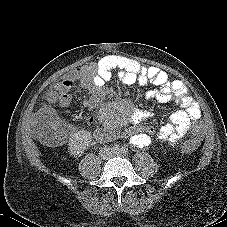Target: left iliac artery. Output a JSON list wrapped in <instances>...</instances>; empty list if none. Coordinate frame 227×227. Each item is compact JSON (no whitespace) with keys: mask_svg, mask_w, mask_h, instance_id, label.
Returning a JSON list of instances; mask_svg holds the SVG:
<instances>
[{"mask_svg":"<svg viewBox=\"0 0 227 227\" xmlns=\"http://www.w3.org/2000/svg\"><path fill=\"white\" fill-rule=\"evenodd\" d=\"M121 151H122L123 153H125V154H126V153H128V148H126V147H122V148H121Z\"/></svg>","mask_w":227,"mask_h":227,"instance_id":"44dca946","label":"left iliac artery"}]
</instances>
